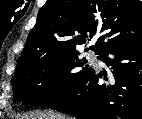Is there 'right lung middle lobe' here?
Wrapping results in <instances>:
<instances>
[{
	"label": "right lung middle lobe",
	"instance_id": "obj_1",
	"mask_svg": "<svg viewBox=\"0 0 142 119\" xmlns=\"http://www.w3.org/2000/svg\"><path fill=\"white\" fill-rule=\"evenodd\" d=\"M76 50L49 55L25 68L12 78L13 97L22 104L50 107L76 90L93 71Z\"/></svg>",
	"mask_w": 142,
	"mask_h": 119
}]
</instances>
